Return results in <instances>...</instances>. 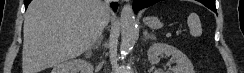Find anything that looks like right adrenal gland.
I'll return each instance as SVG.
<instances>
[{
    "label": "right adrenal gland",
    "instance_id": "obj_1",
    "mask_svg": "<svg viewBox=\"0 0 244 73\" xmlns=\"http://www.w3.org/2000/svg\"><path fill=\"white\" fill-rule=\"evenodd\" d=\"M103 40V36L101 35L99 39L96 41V43L89 49V52H91L93 49H98L101 45V42Z\"/></svg>",
    "mask_w": 244,
    "mask_h": 73
}]
</instances>
